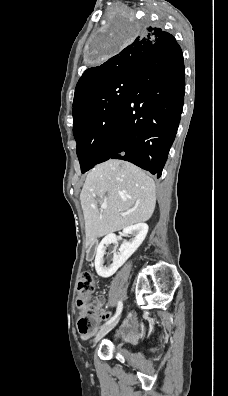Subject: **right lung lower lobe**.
I'll return each mask as SVG.
<instances>
[{
  "mask_svg": "<svg viewBox=\"0 0 228 396\" xmlns=\"http://www.w3.org/2000/svg\"><path fill=\"white\" fill-rule=\"evenodd\" d=\"M185 69L180 46L154 49L140 62L131 88L113 124L106 151L159 178L180 122Z\"/></svg>",
  "mask_w": 228,
  "mask_h": 396,
  "instance_id": "right-lung-lower-lobe-1",
  "label": "right lung lower lobe"
}]
</instances>
